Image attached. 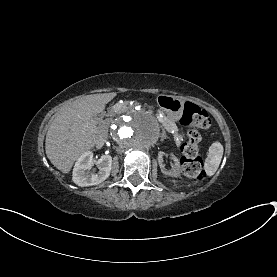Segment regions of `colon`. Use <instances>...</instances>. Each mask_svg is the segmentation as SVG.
<instances>
[{
  "mask_svg": "<svg viewBox=\"0 0 277 277\" xmlns=\"http://www.w3.org/2000/svg\"><path fill=\"white\" fill-rule=\"evenodd\" d=\"M181 125L187 129V140L180 146V160L183 173L191 179L205 177L204 161L199 156L200 130L211 125L208 113L193 103H186L180 118Z\"/></svg>",
  "mask_w": 277,
  "mask_h": 277,
  "instance_id": "obj_1",
  "label": "colon"
}]
</instances>
